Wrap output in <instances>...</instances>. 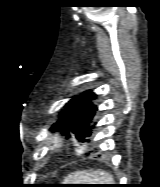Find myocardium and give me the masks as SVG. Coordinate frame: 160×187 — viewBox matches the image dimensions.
Returning <instances> with one entry per match:
<instances>
[{
    "label": "myocardium",
    "mask_w": 160,
    "mask_h": 187,
    "mask_svg": "<svg viewBox=\"0 0 160 187\" xmlns=\"http://www.w3.org/2000/svg\"><path fill=\"white\" fill-rule=\"evenodd\" d=\"M63 145V138L59 134H55L46 140V149L48 152L53 153Z\"/></svg>",
    "instance_id": "obj_1"
}]
</instances>
